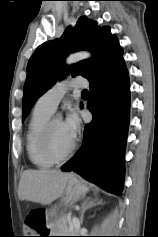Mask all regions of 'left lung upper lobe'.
Wrapping results in <instances>:
<instances>
[{"instance_id":"1","label":"left lung upper lobe","mask_w":158,"mask_h":237,"mask_svg":"<svg viewBox=\"0 0 158 237\" xmlns=\"http://www.w3.org/2000/svg\"><path fill=\"white\" fill-rule=\"evenodd\" d=\"M71 35H67L70 34ZM88 50L94 58L69 67L73 76L81 75L89 82L102 78L115 64L122 60L123 50L109 27L97 26V22L82 16L75 28L68 27L58 40L41 44L27 65L24 84L23 120L28 116L35 101L56 80L65 76L64 58L69 52Z\"/></svg>"}]
</instances>
